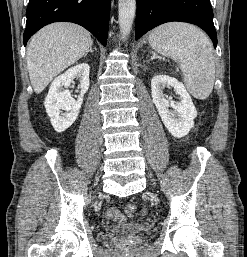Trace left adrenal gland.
<instances>
[{
	"instance_id": "1",
	"label": "left adrenal gland",
	"mask_w": 247,
	"mask_h": 257,
	"mask_svg": "<svg viewBox=\"0 0 247 257\" xmlns=\"http://www.w3.org/2000/svg\"><path fill=\"white\" fill-rule=\"evenodd\" d=\"M156 58L164 59V58H162V57L158 56L155 52H152L151 60L156 59Z\"/></svg>"
}]
</instances>
